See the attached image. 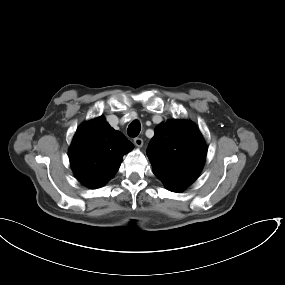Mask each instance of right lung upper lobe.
Listing matches in <instances>:
<instances>
[{"instance_id": "1", "label": "right lung upper lobe", "mask_w": 285, "mask_h": 285, "mask_svg": "<svg viewBox=\"0 0 285 285\" xmlns=\"http://www.w3.org/2000/svg\"><path fill=\"white\" fill-rule=\"evenodd\" d=\"M133 147L101 116L78 128L69 149V159L76 178L87 187L98 188L116 174L122 157Z\"/></svg>"}]
</instances>
